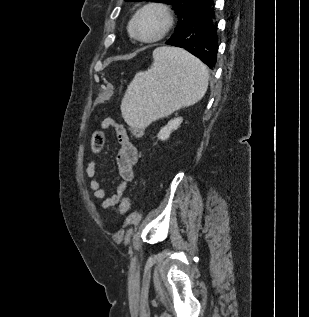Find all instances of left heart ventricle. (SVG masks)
<instances>
[{
  "label": "left heart ventricle",
  "instance_id": "left-heart-ventricle-1",
  "mask_svg": "<svg viewBox=\"0 0 309 317\" xmlns=\"http://www.w3.org/2000/svg\"><path fill=\"white\" fill-rule=\"evenodd\" d=\"M162 22V17L158 13L153 11L146 12L138 21V31L142 37H152L159 32Z\"/></svg>",
  "mask_w": 309,
  "mask_h": 317
}]
</instances>
